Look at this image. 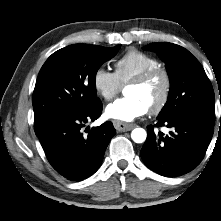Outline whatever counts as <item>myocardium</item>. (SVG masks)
<instances>
[{"label":"myocardium","instance_id":"myocardium-1","mask_svg":"<svg viewBox=\"0 0 221 221\" xmlns=\"http://www.w3.org/2000/svg\"><path fill=\"white\" fill-rule=\"evenodd\" d=\"M160 76L163 80V87L159 96V99L157 102L151 106L148 110L151 114H158L160 113L164 107L166 106L170 92H171V87H172V81H171V76L167 69L164 67H155L148 69L144 71L143 73L139 74L135 78H133L129 83V85H136V86H141L149 81H151L153 78Z\"/></svg>","mask_w":221,"mask_h":221}]
</instances>
